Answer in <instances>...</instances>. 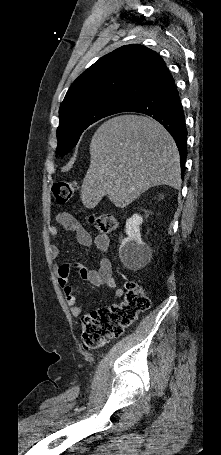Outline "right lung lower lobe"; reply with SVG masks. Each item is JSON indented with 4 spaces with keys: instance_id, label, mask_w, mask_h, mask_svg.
I'll use <instances>...</instances> for the list:
<instances>
[{
    "instance_id": "98d812e1",
    "label": "right lung lower lobe",
    "mask_w": 221,
    "mask_h": 455,
    "mask_svg": "<svg viewBox=\"0 0 221 455\" xmlns=\"http://www.w3.org/2000/svg\"><path fill=\"white\" fill-rule=\"evenodd\" d=\"M123 112H137L152 116L167 129L178 147L183 175L187 157V128L179 94L167 67L145 93L127 106Z\"/></svg>"
}]
</instances>
